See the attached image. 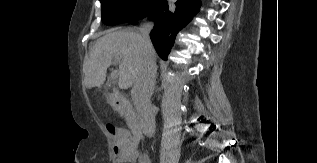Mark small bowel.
I'll list each match as a JSON object with an SVG mask.
<instances>
[{
  "label": "small bowel",
  "instance_id": "small-bowel-1",
  "mask_svg": "<svg viewBox=\"0 0 317 163\" xmlns=\"http://www.w3.org/2000/svg\"><path fill=\"white\" fill-rule=\"evenodd\" d=\"M120 141V161L122 163H151L148 156L141 154L132 138L125 131L117 135V142Z\"/></svg>",
  "mask_w": 317,
  "mask_h": 163
}]
</instances>
